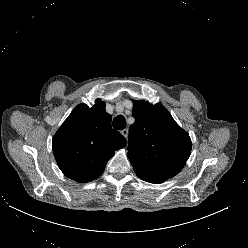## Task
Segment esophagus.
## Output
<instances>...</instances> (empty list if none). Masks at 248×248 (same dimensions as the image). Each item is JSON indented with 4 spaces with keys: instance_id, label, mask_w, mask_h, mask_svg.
<instances>
[{
    "instance_id": "esophagus-1",
    "label": "esophagus",
    "mask_w": 248,
    "mask_h": 248,
    "mask_svg": "<svg viewBox=\"0 0 248 248\" xmlns=\"http://www.w3.org/2000/svg\"><path fill=\"white\" fill-rule=\"evenodd\" d=\"M121 134H122L125 138H127V137H128V129H123V130H121Z\"/></svg>"
}]
</instances>
